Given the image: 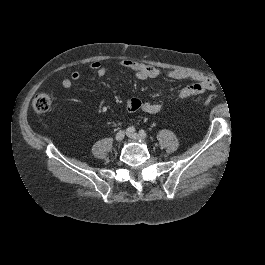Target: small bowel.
I'll return each mask as SVG.
<instances>
[{
  "mask_svg": "<svg viewBox=\"0 0 265 265\" xmlns=\"http://www.w3.org/2000/svg\"><path fill=\"white\" fill-rule=\"evenodd\" d=\"M119 65L131 69L134 72L136 78L139 80L158 78V77H169L177 80L193 81L192 84L187 85L178 92L177 99L180 100L189 98L191 96L199 95L208 90L214 89V84L210 78L195 71H190V70L163 71L154 66L132 59L122 60L119 63ZM89 67L90 69L95 71V73L99 77H103L106 74V67L99 61L92 62ZM80 77L81 73L78 70L72 71L70 77L65 78L62 81L63 88L65 89L71 88L73 82L78 80ZM126 107L127 110L130 112L142 110L149 114H157L164 109V104L160 102L144 101L139 97H129L126 101Z\"/></svg>",
  "mask_w": 265,
  "mask_h": 265,
  "instance_id": "small-bowel-1",
  "label": "small bowel"
}]
</instances>
